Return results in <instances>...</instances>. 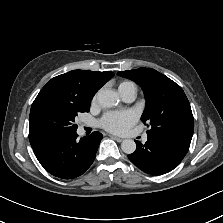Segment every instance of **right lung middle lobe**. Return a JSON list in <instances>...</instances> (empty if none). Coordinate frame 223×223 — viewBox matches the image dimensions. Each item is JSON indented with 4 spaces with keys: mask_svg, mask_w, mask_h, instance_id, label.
I'll list each match as a JSON object with an SVG mask.
<instances>
[{
    "mask_svg": "<svg viewBox=\"0 0 223 223\" xmlns=\"http://www.w3.org/2000/svg\"><path fill=\"white\" fill-rule=\"evenodd\" d=\"M83 107L53 95L37 96L29 118L31 144L43 145L76 132L74 119L78 113L88 112Z\"/></svg>",
    "mask_w": 223,
    "mask_h": 223,
    "instance_id": "1",
    "label": "right lung middle lobe"
}]
</instances>
